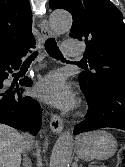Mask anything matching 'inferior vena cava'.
<instances>
[{"mask_svg":"<svg viewBox=\"0 0 125 167\" xmlns=\"http://www.w3.org/2000/svg\"><path fill=\"white\" fill-rule=\"evenodd\" d=\"M25 141L23 143V151L24 150H29L31 148V140H30V136L29 135H25Z\"/></svg>","mask_w":125,"mask_h":167,"instance_id":"inferior-vena-cava-1","label":"inferior vena cava"}]
</instances>
